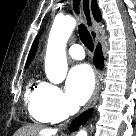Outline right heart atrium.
I'll return each instance as SVG.
<instances>
[{"instance_id": "1", "label": "right heart atrium", "mask_w": 136, "mask_h": 136, "mask_svg": "<svg viewBox=\"0 0 136 136\" xmlns=\"http://www.w3.org/2000/svg\"><path fill=\"white\" fill-rule=\"evenodd\" d=\"M40 102L52 121H60L73 111L63 91L51 83L41 84Z\"/></svg>"}]
</instances>
